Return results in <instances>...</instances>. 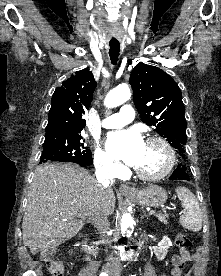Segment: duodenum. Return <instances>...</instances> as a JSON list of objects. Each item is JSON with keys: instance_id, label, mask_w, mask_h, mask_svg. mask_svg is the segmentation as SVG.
<instances>
[{"instance_id": "obj_1", "label": "duodenum", "mask_w": 221, "mask_h": 276, "mask_svg": "<svg viewBox=\"0 0 221 276\" xmlns=\"http://www.w3.org/2000/svg\"><path fill=\"white\" fill-rule=\"evenodd\" d=\"M82 246H83L84 250H86V251H89V252H94L95 251V249L92 246H90L88 244V242H86V241L83 243Z\"/></svg>"}]
</instances>
